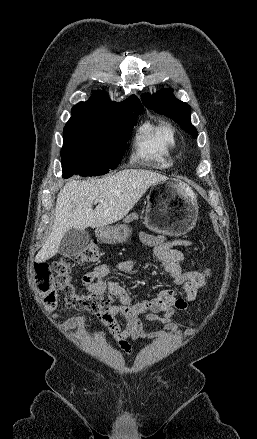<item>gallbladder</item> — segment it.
Here are the masks:
<instances>
[{
  "label": "gallbladder",
  "mask_w": 257,
  "mask_h": 439,
  "mask_svg": "<svg viewBox=\"0 0 257 439\" xmlns=\"http://www.w3.org/2000/svg\"><path fill=\"white\" fill-rule=\"evenodd\" d=\"M90 236L86 230L70 229L66 232L59 246V253L64 256H76L82 252Z\"/></svg>",
  "instance_id": "gallbladder-1"
}]
</instances>
